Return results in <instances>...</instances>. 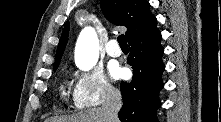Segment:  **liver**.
<instances>
[{"instance_id":"6515ba94","label":"liver","mask_w":221,"mask_h":122,"mask_svg":"<svg viewBox=\"0 0 221 122\" xmlns=\"http://www.w3.org/2000/svg\"><path fill=\"white\" fill-rule=\"evenodd\" d=\"M45 122H107L102 108H91L71 117L48 118Z\"/></svg>"}]
</instances>
